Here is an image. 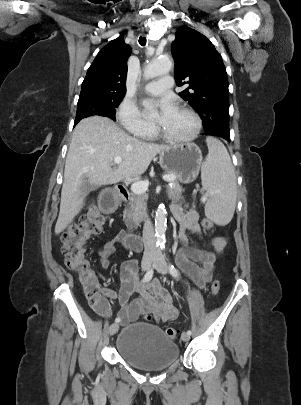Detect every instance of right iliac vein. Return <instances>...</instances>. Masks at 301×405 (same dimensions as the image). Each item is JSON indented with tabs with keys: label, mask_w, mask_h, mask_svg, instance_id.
Instances as JSON below:
<instances>
[{
	"label": "right iliac vein",
	"mask_w": 301,
	"mask_h": 405,
	"mask_svg": "<svg viewBox=\"0 0 301 405\" xmlns=\"http://www.w3.org/2000/svg\"><path fill=\"white\" fill-rule=\"evenodd\" d=\"M151 260H152L151 256H145L143 258L142 264H141L142 271L149 270L150 265H151ZM118 330H119V325L117 323H113L110 325V327L108 329V333H109V335H114Z\"/></svg>",
	"instance_id": "right-iliac-vein-1"
}]
</instances>
